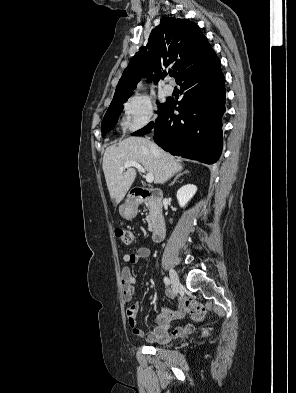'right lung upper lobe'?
I'll list each match as a JSON object with an SVG mask.
<instances>
[{
  "label": "right lung upper lobe",
  "instance_id": "1",
  "mask_svg": "<svg viewBox=\"0 0 296 393\" xmlns=\"http://www.w3.org/2000/svg\"><path fill=\"white\" fill-rule=\"evenodd\" d=\"M209 47L207 38L194 22L162 18L160 25L152 30L147 46L139 49L124 70L112 101L129 98L141 77L158 82L166 76L161 70L169 65L177 79Z\"/></svg>",
  "mask_w": 296,
  "mask_h": 393
}]
</instances>
